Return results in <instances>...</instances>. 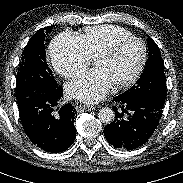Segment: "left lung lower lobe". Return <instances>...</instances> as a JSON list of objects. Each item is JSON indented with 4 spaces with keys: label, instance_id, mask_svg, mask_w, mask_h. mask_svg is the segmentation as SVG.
Returning a JSON list of instances; mask_svg holds the SVG:
<instances>
[{
    "label": "left lung lower lobe",
    "instance_id": "left-lung-lower-lobe-1",
    "mask_svg": "<svg viewBox=\"0 0 183 183\" xmlns=\"http://www.w3.org/2000/svg\"><path fill=\"white\" fill-rule=\"evenodd\" d=\"M115 120L105 129L107 141L115 148L133 150L148 141L160 123L162 109L147 101L123 94L113 98Z\"/></svg>",
    "mask_w": 183,
    "mask_h": 183
}]
</instances>
